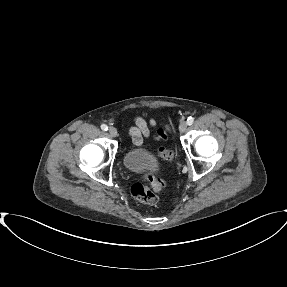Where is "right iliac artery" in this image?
I'll return each mask as SVG.
<instances>
[{
  "label": "right iliac artery",
  "instance_id": "82829eb1",
  "mask_svg": "<svg viewBox=\"0 0 287 287\" xmlns=\"http://www.w3.org/2000/svg\"><path fill=\"white\" fill-rule=\"evenodd\" d=\"M101 129H102L103 131H107V130H108V127H107V125L102 124V125H101Z\"/></svg>",
  "mask_w": 287,
  "mask_h": 287
}]
</instances>
